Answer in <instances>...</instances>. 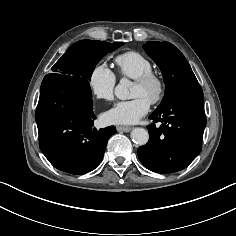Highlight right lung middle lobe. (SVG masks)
Masks as SVG:
<instances>
[{"label": "right lung middle lobe", "mask_w": 236, "mask_h": 236, "mask_svg": "<svg viewBox=\"0 0 236 236\" xmlns=\"http://www.w3.org/2000/svg\"><path fill=\"white\" fill-rule=\"evenodd\" d=\"M123 43H107L104 41L82 40L74 43L52 67L49 77H62L76 85L91 91L89 80L98 61Z\"/></svg>", "instance_id": "1"}]
</instances>
